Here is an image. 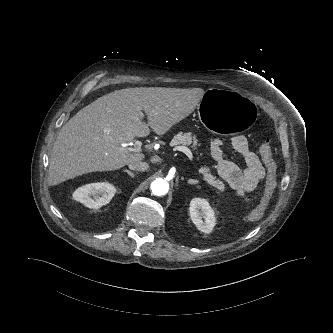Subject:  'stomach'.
<instances>
[{"label":"stomach","mask_w":333,"mask_h":333,"mask_svg":"<svg viewBox=\"0 0 333 333\" xmlns=\"http://www.w3.org/2000/svg\"><path fill=\"white\" fill-rule=\"evenodd\" d=\"M256 112L253 103L227 90L207 92L198 105L200 120L216 135L245 133L252 126Z\"/></svg>","instance_id":"0dacf381"}]
</instances>
